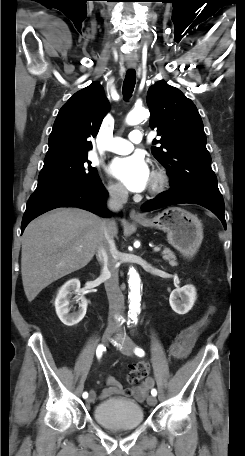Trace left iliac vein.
I'll return each mask as SVG.
<instances>
[{"label": "left iliac vein", "mask_w": 245, "mask_h": 456, "mask_svg": "<svg viewBox=\"0 0 245 456\" xmlns=\"http://www.w3.org/2000/svg\"><path fill=\"white\" fill-rule=\"evenodd\" d=\"M120 351H121L124 355L132 356V355H133V351H134V344L131 343V342H126V343H124V344L120 347ZM147 403H148L150 406L156 405V403H157L156 397L153 396V395L148 396V398H147Z\"/></svg>", "instance_id": "1"}]
</instances>
